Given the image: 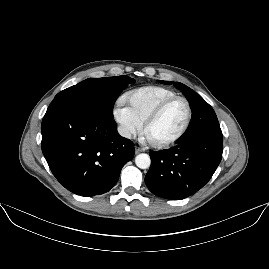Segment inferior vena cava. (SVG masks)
I'll list each match as a JSON object with an SVG mask.
<instances>
[{"label":"inferior vena cava","mask_w":269,"mask_h":269,"mask_svg":"<svg viewBox=\"0 0 269 269\" xmlns=\"http://www.w3.org/2000/svg\"><path fill=\"white\" fill-rule=\"evenodd\" d=\"M117 130H118L119 135L122 137L130 139L132 136L130 129H128L125 126H119Z\"/></svg>","instance_id":"602c4592"}]
</instances>
